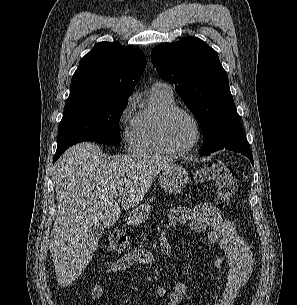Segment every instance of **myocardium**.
Returning <instances> with one entry per match:
<instances>
[{
	"label": "myocardium",
	"instance_id": "myocardium-1",
	"mask_svg": "<svg viewBox=\"0 0 297 305\" xmlns=\"http://www.w3.org/2000/svg\"><path fill=\"white\" fill-rule=\"evenodd\" d=\"M177 113H181L186 115L193 123L195 127V138L193 141L185 146V147H175L171 144L168 135H167V125L169 120ZM202 135V129L199 120L197 117L189 110L173 106L161 113V115L158 118L157 122V138L160 142V144L167 150V152H170L172 154H185L190 152L200 141Z\"/></svg>",
	"mask_w": 297,
	"mask_h": 305
}]
</instances>
